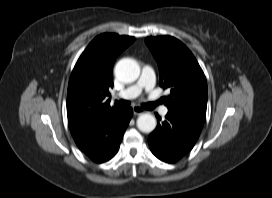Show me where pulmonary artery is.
I'll list each match as a JSON object with an SVG mask.
<instances>
[{
    "label": "pulmonary artery",
    "instance_id": "obj_1",
    "mask_svg": "<svg viewBox=\"0 0 272 198\" xmlns=\"http://www.w3.org/2000/svg\"><path fill=\"white\" fill-rule=\"evenodd\" d=\"M154 86H155L154 70L152 67L146 65L143 67L142 76L140 80L136 84L116 93L115 97L117 99H126V100L133 99L139 96L143 90L147 92L152 91L154 89ZM160 112L162 115H166L168 112V109L166 107H162Z\"/></svg>",
    "mask_w": 272,
    "mask_h": 198
}]
</instances>
